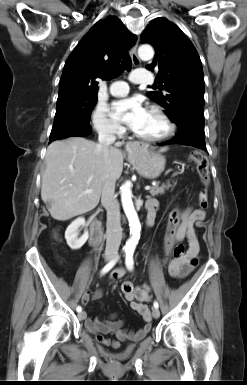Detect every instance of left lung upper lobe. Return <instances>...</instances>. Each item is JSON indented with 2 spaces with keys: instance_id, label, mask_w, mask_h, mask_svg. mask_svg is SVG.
<instances>
[{
  "instance_id": "5c2ea615",
  "label": "left lung upper lobe",
  "mask_w": 247,
  "mask_h": 385,
  "mask_svg": "<svg viewBox=\"0 0 247 385\" xmlns=\"http://www.w3.org/2000/svg\"><path fill=\"white\" fill-rule=\"evenodd\" d=\"M141 42L153 45L156 53L146 68L159 70L155 87L160 91L147 92L148 97L164 107L173 122L184 115L203 116V69L189 38L176 24L160 17L142 32Z\"/></svg>"
}]
</instances>
